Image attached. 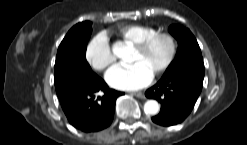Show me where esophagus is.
<instances>
[{
    "instance_id": "34e87169",
    "label": "esophagus",
    "mask_w": 247,
    "mask_h": 145,
    "mask_svg": "<svg viewBox=\"0 0 247 145\" xmlns=\"http://www.w3.org/2000/svg\"><path fill=\"white\" fill-rule=\"evenodd\" d=\"M132 95L140 98V99H144L145 98V95L143 92H132Z\"/></svg>"
}]
</instances>
